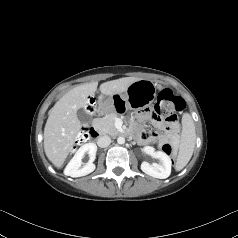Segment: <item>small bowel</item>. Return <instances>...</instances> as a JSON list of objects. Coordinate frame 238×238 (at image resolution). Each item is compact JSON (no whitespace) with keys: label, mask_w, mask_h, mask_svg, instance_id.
<instances>
[{"label":"small bowel","mask_w":238,"mask_h":238,"mask_svg":"<svg viewBox=\"0 0 238 238\" xmlns=\"http://www.w3.org/2000/svg\"><path fill=\"white\" fill-rule=\"evenodd\" d=\"M138 118L142 121L150 119L156 128L166 129L165 134L159 135L148 129H142L138 131V129L133 126V132L138 135V139L141 143L147 144L151 142H157L160 146H162V144L165 142H170L173 145H176L179 142L177 126H166V124L163 122V117L157 110H151L149 113L140 112L138 114Z\"/></svg>","instance_id":"obj_1"}]
</instances>
